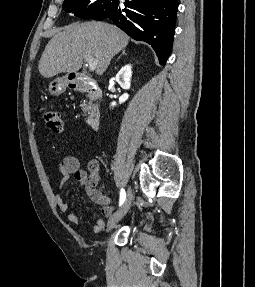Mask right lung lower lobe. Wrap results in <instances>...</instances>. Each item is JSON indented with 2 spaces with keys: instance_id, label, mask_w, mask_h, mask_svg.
<instances>
[{
  "instance_id": "98d812e1",
  "label": "right lung lower lobe",
  "mask_w": 255,
  "mask_h": 287,
  "mask_svg": "<svg viewBox=\"0 0 255 287\" xmlns=\"http://www.w3.org/2000/svg\"><path fill=\"white\" fill-rule=\"evenodd\" d=\"M125 1V9L117 7L106 18L131 38L149 43L165 65L172 49L178 0Z\"/></svg>"
}]
</instances>
